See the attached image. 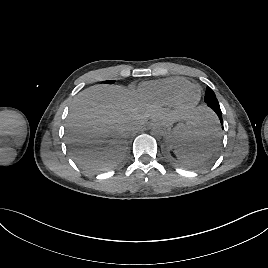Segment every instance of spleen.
<instances>
[{
  "instance_id": "3e777b00",
  "label": "spleen",
  "mask_w": 268,
  "mask_h": 268,
  "mask_svg": "<svg viewBox=\"0 0 268 268\" xmlns=\"http://www.w3.org/2000/svg\"><path fill=\"white\" fill-rule=\"evenodd\" d=\"M221 131L215 115L204 113L193 124L188 147L176 148L179 159L188 162H199L211 158L216 153L220 142Z\"/></svg>"
}]
</instances>
